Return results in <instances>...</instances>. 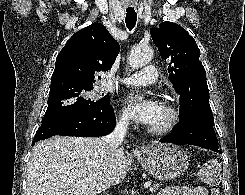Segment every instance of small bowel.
Segmentation results:
<instances>
[{
	"label": "small bowel",
	"instance_id": "1",
	"mask_svg": "<svg viewBox=\"0 0 245 195\" xmlns=\"http://www.w3.org/2000/svg\"><path fill=\"white\" fill-rule=\"evenodd\" d=\"M158 195H208L206 188L197 187H167L159 192Z\"/></svg>",
	"mask_w": 245,
	"mask_h": 195
}]
</instances>
